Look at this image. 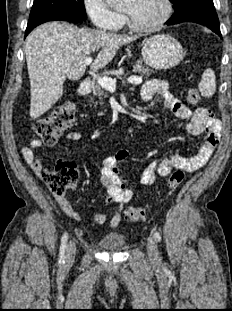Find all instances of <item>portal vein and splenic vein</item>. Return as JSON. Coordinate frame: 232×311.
I'll use <instances>...</instances> for the list:
<instances>
[{
  "instance_id": "obj_1",
  "label": "portal vein and splenic vein",
  "mask_w": 232,
  "mask_h": 311,
  "mask_svg": "<svg viewBox=\"0 0 232 311\" xmlns=\"http://www.w3.org/2000/svg\"><path fill=\"white\" fill-rule=\"evenodd\" d=\"M92 57H87L84 60L85 65H89L92 63ZM127 81L131 84L139 85L142 83V78L138 76H131L127 79ZM98 83L105 89L109 91H113L116 88V81L109 77H101L98 79Z\"/></svg>"
}]
</instances>
